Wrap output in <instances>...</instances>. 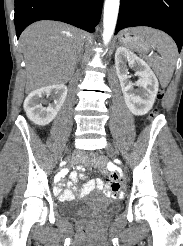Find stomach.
Here are the masks:
<instances>
[{
    "instance_id": "1",
    "label": "stomach",
    "mask_w": 183,
    "mask_h": 246,
    "mask_svg": "<svg viewBox=\"0 0 183 246\" xmlns=\"http://www.w3.org/2000/svg\"><path fill=\"white\" fill-rule=\"evenodd\" d=\"M145 30L146 28L126 29L121 33L119 41L132 49L146 51L150 44L143 35Z\"/></svg>"
}]
</instances>
